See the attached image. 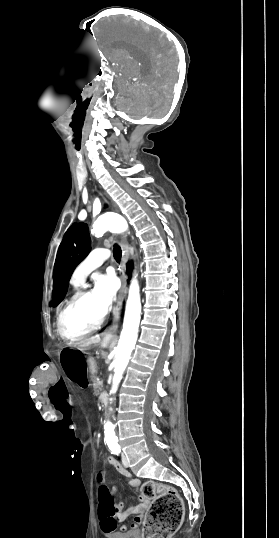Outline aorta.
<instances>
[{"label": "aorta", "instance_id": "762f6f07", "mask_svg": "<svg viewBox=\"0 0 279 538\" xmlns=\"http://www.w3.org/2000/svg\"><path fill=\"white\" fill-rule=\"evenodd\" d=\"M127 221L118 214L108 213L100 216L93 224L92 234L101 237L110 230L114 233L126 231ZM141 300L139 285L136 277L131 281L128 299L124 315L123 329L121 331L118 346L116 348V358L114 364V376L112 381L111 394H115L121 381L122 374L130 360L131 352L137 341L138 327L140 323ZM115 426L107 421L104 425L105 441L110 449H118V438L114 431Z\"/></svg>", "mask_w": 279, "mask_h": 538}]
</instances>
